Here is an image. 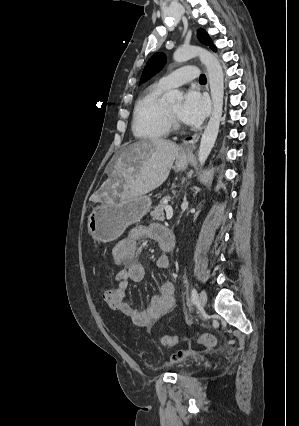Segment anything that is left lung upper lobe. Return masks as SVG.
Wrapping results in <instances>:
<instances>
[{"instance_id": "obj_1", "label": "left lung upper lobe", "mask_w": 299, "mask_h": 426, "mask_svg": "<svg viewBox=\"0 0 299 426\" xmlns=\"http://www.w3.org/2000/svg\"><path fill=\"white\" fill-rule=\"evenodd\" d=\"M197 37H198L200 42H202L205 45L210 46L213 50H216L215 46L213 45V43H212L210 37L208 36V34L206 33V31H204L201 28L198 29ZM165 62H166V58H165L164 54H162V53L154 54L148 60L146 66L144 68L140 83L148 80L151 76H153L154 74L159 72L163 68V66L165 65Z\"/></svg>"}]
</instances>
